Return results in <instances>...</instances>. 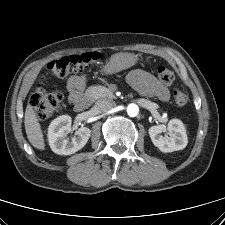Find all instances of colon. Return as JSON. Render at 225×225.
Masks as SVG:
<instances>
[{
  "label": "colon",
  "instance_id": "1",
  "mask_svg": "<svg viewBox=\"0 0 225 225\" xmlns=\"http://www.w3.org/2000/svg\"><path fill=\"white\" fill-rule=\"evenodd\" d=\"M98 59L99 54L95 52L73 54L51 61L48 64V69L53 75L62 77L69 73L83 72ZM157 73L160 80L165 84H171L174 81L173 72L164 66L158 67ZM173 98L179 106H184L188 102L186 92L180 88L174 89ZM62 99L63 93L61 91L48 92L41 85H38L31 96L30 104L38 119L46 120L52 116Z\"/></svg>",
  "mask_w": 225,
  "mask_h": 225
}]
</instances>
